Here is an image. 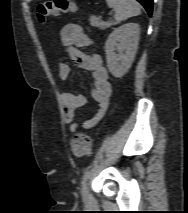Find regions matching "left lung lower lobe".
<instances>
[{
    "instance_id": "obj_1",
    "label": "left lung lower lobe",
    "mask_w": 188,
    "mask_h": 213,
    "mask_svg": "<svg viewBox=\"0 0 188 213\" xmlns=\"http://www.w3.org/2000/svg\"><path fill=\"white\" fill-rule=\"evenodd\" d=\"M137 1L140 2L145 7L149 15L152 14L153 0H137Z\"/></svg>"
}]
</instances>
